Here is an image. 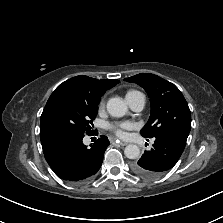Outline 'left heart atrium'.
Here are the masks:
<instances>
[{
  "label": "left heart atrium",
  "mask_w": 223,
  "mask_h": 223,
  "mask_svg": "<svg viewBox=\"0 0 223 223\" xmlns=\"http://www.w3.org/2000/svg\"><path fill=\"white\" fill-rule=\"evenodd\" d=\"M133 127L130 122H118L108 125V129L114 132L119 137H124L127 130Z\"/></svg>",
  "instance_id": "1"
}]
</instances>
